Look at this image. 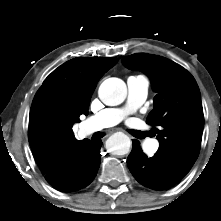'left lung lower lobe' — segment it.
<instances>
[{"instance_id":"0a47b994","label":"left lung lower lobe","mask_w":221,"mask_h":221,"mask_svg":"<svg viewBox=\"0 0 221 221\" xmlns=\"http://www.w3.org/2000/svg\"><path fill=\"white\" fill-rule=\"evenodd\" d=\"M133 149L127 159V166L134 178L143 186L153 190H165L177 184L180 178L155 154L147 157L137 140H132Z\"/></svg>"}]
</instances>
